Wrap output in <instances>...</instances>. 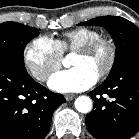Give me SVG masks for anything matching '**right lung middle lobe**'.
<instances>
[{"label":"right lung middle lobe","instance_id":"obj_1","mask_svg":"<svg viewBox=\"0 0 139 139\" xmlns=\"http://www.w3.org/2000/svg\"><path fill=\"white\" fill-rule=\"evenodd\" d=\"M39 30L16 22L0 24V59L25 67L23 52L26 44Z\"/></svg>","mask_w":139,"mask_h":139}]
</instances>
